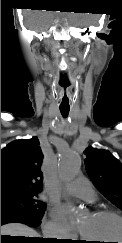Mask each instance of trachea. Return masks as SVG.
I'll list each match as a JSON object with an SVG mask.
<instances>
[{
	"label": "trachea",
	"instance_id": "obj_1",
	"mask_svg": "<svg viewBox=\"0 0 122 243\" xmlns=\"http://www.w3.org/2000/svg\"><path fill=\"white\" fill-rule=\"evenodd\" d=\"M69 108H60V112L62 114L63 117H67L69 114Z\"/></svg>",
	"mask_w": 122,
	"mask_h": 243
}]
</instances>
